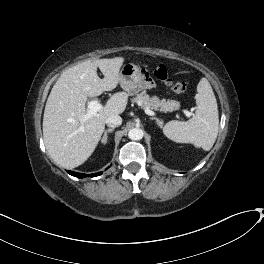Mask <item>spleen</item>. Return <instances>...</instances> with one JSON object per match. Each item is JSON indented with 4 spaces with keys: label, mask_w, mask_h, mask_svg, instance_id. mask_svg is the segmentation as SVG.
Returning a JSON list of instances; mask_svg holds the SVG:
<instances>
[{
    "label": "spleen",
    "mask_w": 264,
    "mask_h": 264,
    "mask_svg": "<svg viewBox=\"0 0 264 264\" xmlns=\"http://www.w3.org/2000/svg\"><path fill=\"white\" fill-rule=\"evenodd\" d=\"M197 92V110L194 116L188 121H169L163 127V133L177 143H191L209 151L219 130L217 101L206 78H202L198 83Z\"/></svg>",
    "instance_id": "1"
}]
</instances>
